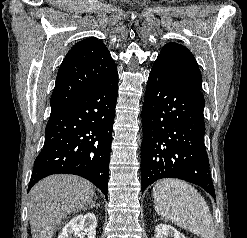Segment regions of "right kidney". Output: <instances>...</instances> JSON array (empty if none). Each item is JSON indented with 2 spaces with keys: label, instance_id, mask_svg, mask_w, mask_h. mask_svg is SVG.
Returning <instances> with one entry per match:
<instances>
[{
  "label": "right kidney",
  "instance_id": "obj_1",
  "mask_svg": "<svg viewBox=\"0 0 247 238\" xmlns=\"http://www.w3.org/2000/svg\"><path fill=\"white\" fill-rule=\"evenodd\" d=\"M96 226L97 219L93 213L77 215L63 227L58 238H73L80 231H83L88 238H95Z\"/></svg>",
  "mask_w": 247,
  "mask_h": 238
}]
</instances>
